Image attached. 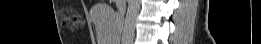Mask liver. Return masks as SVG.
I'll use <instances>...</instances> for the list:
<instances>
[{
    "label": "liver",
    "mask_w": 261,
    "mask_h": 44,
    "mask_svg": "<svg viewBox=\"0 0 261 44\" xmlns=\"http://www.w3.org/2000/svg\"><path fill=\"white\" fill-rule=\"evenodd\" d=\"M98 13H113V8L107 6H96L91 9V16L97 24H118V19H115V14H98ZM118 25H93V30H98L97 40L101 44H116L119 40Z\"/></svg>",
    "instance_id": "6515ba94"
}]
</instances>
